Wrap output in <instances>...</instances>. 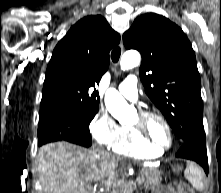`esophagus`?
<instances>
[{"label":"esophagus","instance_id":"34e87169","mask_svg":"<svg viewBox=\"0 0 221 193\" xmlns=\"http://www.w3.org/2000/svg\"><path fill=\"white\" fill-rule=\"evenodd\" d=\"M120 47L123 49V41H122V39L120 41Z\"/></svg>","mask_w":221,"mask_h":193}]
</instances>
